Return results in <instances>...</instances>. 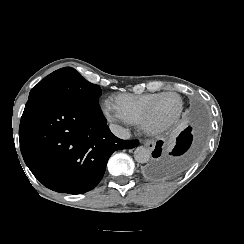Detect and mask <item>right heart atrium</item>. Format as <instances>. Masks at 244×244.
<instances>
[{"instance_id": "d8ad5b80", "label": "right heart atrium", "mask_w": 244, "mask_h": 244, "mask_svg": "<svg viewBox=\"0 0 244 244\" xmlns=\"http://www.w3.org/2000/svg\"><path fill=\"white\" fill-rule=\"evenodd\" d=\"M113 109V105L109 104L104 107V114L106 118L112 122L117 123L118 121H126V109L123 111H117L115 108Z\"/></svg>"}]
</instances>
